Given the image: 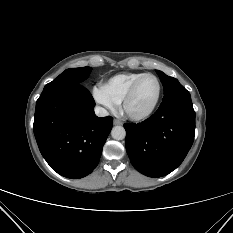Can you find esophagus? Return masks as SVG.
Returning a JSON list of instances; mask_svg holds the SVG:
<instances>
[{"label":"esophagus","instance_id":"1","mask_svg":"<svg viewBox=\"0 0 233 233\" xmlns=\"http://www.w3.org/2000/svg\"><path fill=\"white\" fill-rule=\"evenodd\" d=\"M113 123H114V125H122L123 124V122L121 120H118V119H115Z\"/></svg>","mask_w":233,"mask_h":233}]
</instances>
